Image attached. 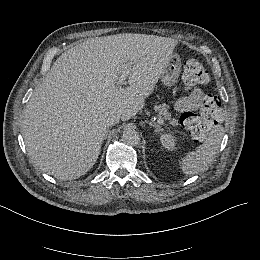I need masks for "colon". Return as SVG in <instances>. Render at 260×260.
<instances>
[{
    "instance_id": "colon-1",
    "label": "colon",
    "mask_w": 260,
    "mask_h": 260,
    "mask_svg": "<svg viewBox=\"0 0 260 260\" xmlns=\"http://www.w3.org/2000/svg\"><path fill=\"white\" fill-rule=\"evenodd\" d=\"M210 75L208 70L203 66L201 61L196 58H189L184 64V86L190 89L198 84H205L209 81ZM208 123V115L202 111L193 112L192 110L184 112L183 124L189 133L197 136Z\"/></svg>"
}]
</instances>
